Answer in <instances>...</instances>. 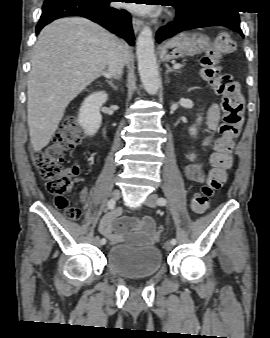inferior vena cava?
Returning a JSON list of instances; mask_svg holds the SVG:
<instances>
[{"instance_id":"obj_1","label":"inferior vena cava","mask_w":270,"mask_h":338,"mask_svg":"<svg viewBox=\"0 0 270 338\" xmlns=\"http://www.w3.org/2000/svg\"><path fill=\"white\" fill-rule=\"evenodd\" d=\"M127 63V53L124 44L120 41L114 42L110 49L108 59V77H119L122 75L123 67Z\"/></svg>"}]
</instances>
